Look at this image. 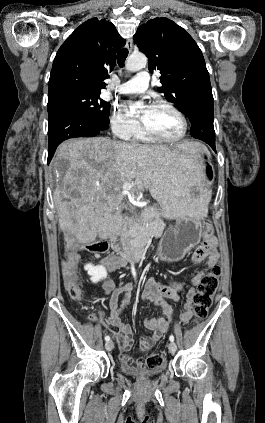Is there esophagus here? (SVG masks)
Segmentation results:
<instances>
[{
  "label": "esophagus",
  "instance_id": "obj_1",
  "mask_svg": "<svg viewBox=\"0 0 265 423\" xmlns=\"http://www.w3.org/2000/svg\"><path fill=\"white\" fill-rule=\"evenodd\" d=\"M132 47H133V42H132V39L129 38L126 42V48L131 52Z\"/></svg>",
  "mask_w": 265,
  "mask_h": 423
}]
</instances>
